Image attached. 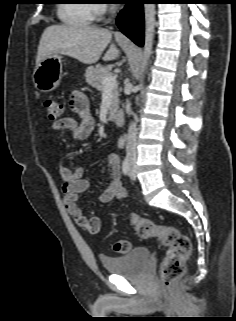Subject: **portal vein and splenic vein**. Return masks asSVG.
<instances>
[{
  "instance_id": "obj_1",
  "label": "portal vein and splenic vein",
  "mask_w": 236,
  "mask_h": 321,
  "mask_svg": "<svg viewBox=\"0 0 236 321\" xmlns=\"http://www.w3.org/2000/svg\"><path fill=\"white\" fill-rule=\"evenodd\" d=\"M116 76L114 75H109L105 77L102 81L103 85L105 88H112L116 85Z\"/></svg>"
}]
</instances>
